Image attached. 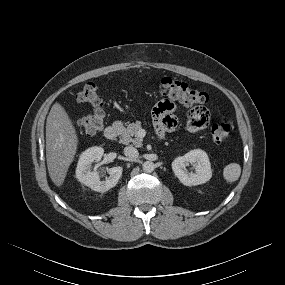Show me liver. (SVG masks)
<instances>
[{"label": "liver", "mask_w": 285, "mask_h": 285, "mask_svg": "<svg viewBox=\"0 0 285 285\" xmlns=\"http://www.w3.org/2000/svg\"><path fill=\"white\" fill-rule=\"evenodd\" d=\"M78 137L72 120L60 103H55L46 121V160L52 182L63 185L77 151Z\"/></svg>", "instance_id": "6515ba94"}]
</instances>
